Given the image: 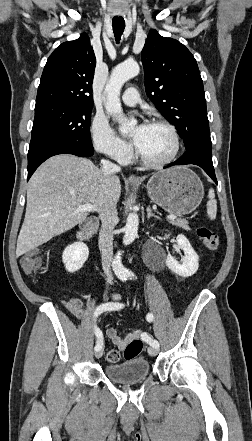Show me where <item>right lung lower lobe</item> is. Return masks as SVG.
<instances>
[{
	"label": "right lung lower lobe",
	"mask_w": 252,
	"mask_h": 441,
	"mask_svg": "<svg viewBox=\"0 0 252 441\" xmlns=\"http://www.w3.org/2000/svg\"><path fill=\"white\" fill-rule=\"evenodd\" d=\"M92 143L77 140H59L41 144L28 151V178L46 159L58 154H73L80 157L93 156Z\"/></svg>",
	"instance_id": "1"
}]
</instances>
